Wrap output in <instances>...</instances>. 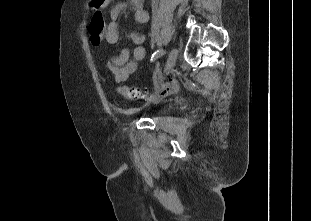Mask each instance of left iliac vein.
Wrapping results in <instances>:
<instances>
[{
  "label": "left iliac vein",
  "instance_id": "obj_1",
  "mask_svg": "<svg viewBox=\"0 0 311 221\" xmlns=\"http://www.w3.org/2000/svg\"><path fill=\"white\" fill-rule=\"evenodd\" d=\"M177 56H178V51L176 48H172L168 58H167V62L164 68V74H168L170 72V70L175 66L176 60H177ZM163 75L160 76V78H162Z\"/></svg>",
  "mask_w": 311,
  "mask_h": 221
}]
</instances>
